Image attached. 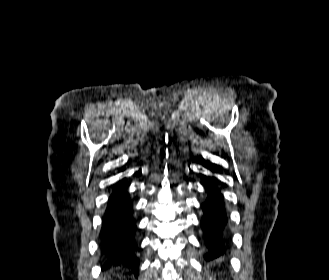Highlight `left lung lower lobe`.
Returning a JSON list of instances; mask_svg holds the SVG:
<instances>
[{
  "label": "left lung lower lobe",
  "instance_id": "1",
  "mask_svg": "<svg viewBox=\"0 0 329 280\" xmlns=\"http://www.w3.org/2000/svg\"><path fill=\"white\" fill-rule=\"evenodd\" d=\"M205 190L208 193V198L202 204L204 215L201 226L205 231V240L207 247H209V253L205 258L209 260L220 256L225 251V248L222 246V235L227 218L224 202L217 188L213 185H206Z\"/></svg>",
  "mask_w": 329,
  "mask_h": 280
}]
</instances>
